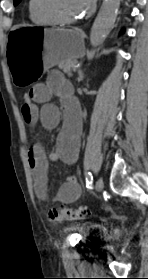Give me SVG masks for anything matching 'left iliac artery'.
Segmentation results:
<instances>
[{
  "mask_svg": "<svg viewBox=\"0 0 148 279\" xmlns=\"http://www.w3.org/2000/svg\"><path fill=\"white\" fill-rule=\"evenodd\" d=\"M86 187L88 189L92 187V174L90 172L86 174Z\"/></svg>",
  "mask_w": 148,
  "mask_h": 279,
  "instance_id": "left-iliac-artery-1",
  "label": "left iliac artery"
}]
</instances>
